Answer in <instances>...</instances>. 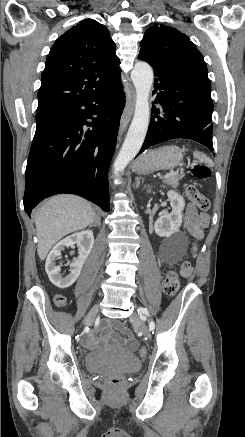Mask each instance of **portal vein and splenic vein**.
<instances>
[{"mask_svg":"<svg viewBox=\"0 0 245 437\" xmlns=\"http://www.w3.org/2000/svg\"><path fill=\"white\" fill-rule=\"evenodd\" d=\"M174 174H176V173L174 171H172V172L166 174L164 177L166 178V177H169V176L174 175Z\"/></svg>","mask_w":245,"mask_h":437,"instance_id":"18ae733b","label":"portal vein and splenic vein"}]
</instances>
